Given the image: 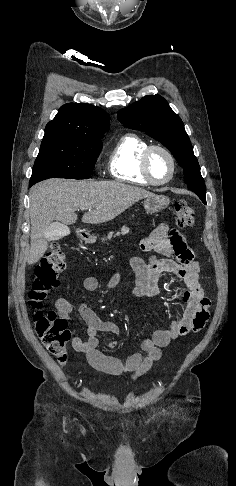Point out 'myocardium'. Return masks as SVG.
<instances>
[{"mask_svg": "<svg viewBox=\"0 0 236 486\" xmlns=\"http://www.w3.org/2000/svg\"><path fill=\"white\" fill-rule=\"evenodd\" d=\"M154 151H160V152L164 153L170 161V165H171L170 174L165 180H162V181L155 180L152 177L150 170H149V159H150L152 152H154ZM140 169H141V173H142L144 179L149 184L155 185V186H161V185H165V184L169 183L173 179V177L176 173V161H175L173 154L167 148H165L161 145H149L142 153L141 161H140Z\"/></svg>", "mask_w": 236, "mask_h": 486, "instance_id": "f54148a6", "label": "myocardium"}]
</instances>
